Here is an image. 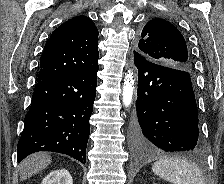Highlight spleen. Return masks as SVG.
<instances>
[{
    "label": "spleen",
    "instance_id": "3e777b00",
    "mask_svg": "<svg viewBox=\"0 0 224 184\" xmlns=\"http://www.w3.org/2000/svg\"><path fill=\"white\" fill-rule=\"evenodd\" d=\"M152 171L173 184H205L202 171L183 159H160L153 164Z\"/></svg>",
    "mask_w": 224,
    "mask_h": 184
}]
</instances>
